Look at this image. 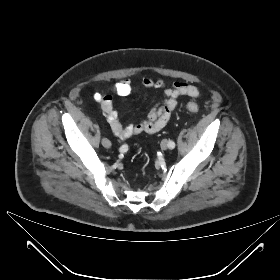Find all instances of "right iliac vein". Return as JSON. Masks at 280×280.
I'll return each mask as SVG.
<instances>
[{
	"instance_id": "right-iliac-vein-1",
	"label": "right iliac vein",
	"mask_w": 280,
	"mask_h": 280,
	"mask_svg": "<svg viewBox=\"0 0 280 280\" xmlns=\"http://www.w3.org/2000/svg\"><path fill=\"white\" fill-rule=\"evenodd\" d=\"M101 143L105 148H110L111 147V142L107 138H103Z\"/></svg>"
}]
</instances>
